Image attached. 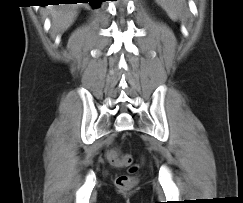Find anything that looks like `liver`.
Returning a JSON list of instances; mask_svg holds the SVG:
<instances>
[{"instance_id":"liver-1","label":"liver","mask_w":243,"mask_h":203,"mask_svg":"<svg viewBox=\"0 0 243 203\" xmlns=\"http://www.w3.org/2000/svg\"><path fill=\"white\" fill-rule=\"evenodd\" d=\"M79 5L71 4L62 7L48 6L47 11L51 15L52 24L58 31H64L68 29L74 22Z\"/></svg>"}]
</instances>
